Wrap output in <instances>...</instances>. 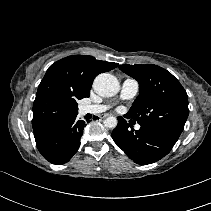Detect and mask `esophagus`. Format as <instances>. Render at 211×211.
Wrapping results in <instances>:
<instances>
[{"instance_id":"esophagus-1","label":"esophagus","mask_w":211,"mask_h":211,"mask_svg":"<svg viewBox=\"0 0 211 211\" xmlns=\"http://www.w3.org/2000/svg\"><path fill=\"white\" fill-rule=\"evenodd\" d=\"M109 116V114H102L101 116H100V118H106V117H108Z\"/></svg>"}]
</instances>
